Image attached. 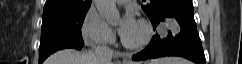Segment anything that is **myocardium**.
Listing matches in <instances>:
<instances>
[{
    "label": "myocardium",
    "mask_w": 242,
    "mask_h": 64,
    "mask_svg": "<svg viewBox=\"0 0 242 64\" xmlns=\"http://www.w3.org/2000/svg\"><path fill=\"white\" fill-rule=\"evenodd\" d=\"M139 26L141 27V30H142L141 39L137 42H130V41H127L126 39H123L122 43L126 48L131 50L141 49L145 47L151 40L152 32H153L151 25L147 21L141 20L139 22Z\"/></svg>",
    "instance_id": "obj_1"
}]
</instances>
